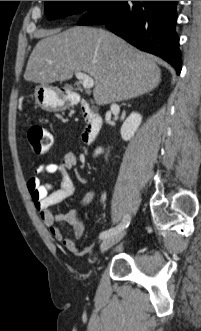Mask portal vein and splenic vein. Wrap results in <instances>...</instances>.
I'll list each match as a JSON object with an SVG mask.
<instances>
[{"label": "portal vein and splenic vein", "mask_w": 201, "mask_h": 331, "mask_svg": "<svg viewBox=\"0 0 201 331\" xmlns=\"http://www.w3.org/2000/svg\"><path fill=\"white\" fill-rule=\"evenodd\" d=\"M75 76L78 80H80L84 89H90L94 86V80L89 75L83 72H76Z\"/></svg>", "instance_id": "18ae733b"}]
</instances>
